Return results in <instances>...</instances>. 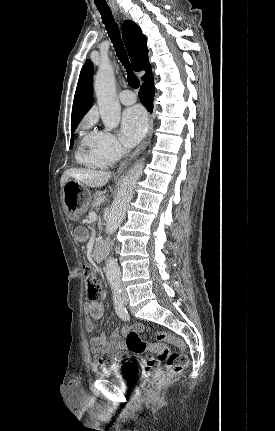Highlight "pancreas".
Here are the masks:
<instances>
[{
    "mask_svg": "<svg viewBox=\"0 0 275 431\" xmlns=\"http://www.w3.org/2000/svg\"><path fill=\"white\" fill-rule=\"evenodd\" d=\"M103 199V193L102 192H96L91 204V210H93V208L97 207L101 201Z\"/></svg>",
    "mask_w": 275,
    "mask_h": 431,
    "instance_id": "obj_1",
    "label": "pancreas"
}]
</instances>
